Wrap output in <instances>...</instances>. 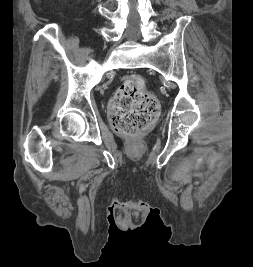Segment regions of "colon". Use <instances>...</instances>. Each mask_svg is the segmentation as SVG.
Wrapping results in <instances>:
<instances>
[{
	"instance_id": "obj_1",
	"label": "colon",
	"mask_w": 253,
	"mask_h": 267,
	"mask_svg": "<svg viewBox=\"0 0 253 267\" xmlns=\"http://www.w3.org/2000/svg\"><path fill=\"white\" fill-rule=\"evenodd\" d=\"M158 111V100L145 90L144 79L128 75L110 102V123L119 134L135 139L151 125Z\"/></svg>"
}]
</instances>
